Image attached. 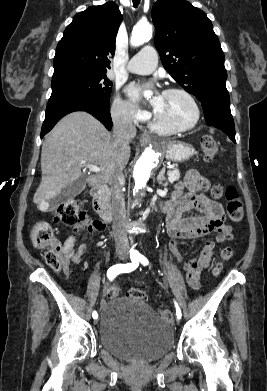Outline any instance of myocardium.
<instances>
[{
  "instance_id": "obj_1",
  "label": "myocardium",
  "mask_w": 267,
  "mask_h": 391,
  "mask_svg": "<svg viewBox=\"0 0 267 391\" xmlns=\"http://www.w3.org/2000/svg\"><path fill=\"white\" fill-rule=\"evenodd\" d=\"M163 93H167V94L178 93V94H181L184 97H186L193 107L194 118H193L192 122L186 126H173V125H170V124L163 122L155 113L154 118H153L155 126L161 128L163 130L172 132V133H178V132L189 131V130L195 128L199 124L200 119H201V109L198 104V101L196 100V98L193 96L192 93H190L188 90L181 88V87H170V88L165 89Z\"/></svg>"
}]
</instances>
